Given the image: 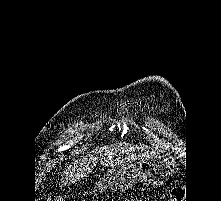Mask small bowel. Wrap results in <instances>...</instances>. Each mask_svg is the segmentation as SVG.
I'll use <instances>...</instances> for the list:
<instances>
[{
	"instance_id": "obj_1",
	"label": "small bowel",
	"mask_w": 221,
	"mask_h": 201,
	"mask_svg": "<svg viewBox=\"0 0 221 201\" xmlns=\"http://www.w3.org/2000/svg\"><path fill=\"white\" fill-rule=\"evenodd\" d=\"M129 201H137V200H135V199H130Z\"/></svg>"
}]
</instances>
